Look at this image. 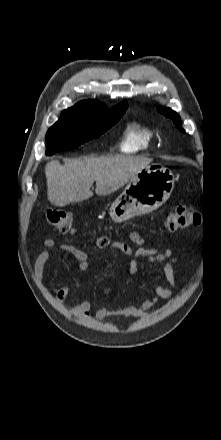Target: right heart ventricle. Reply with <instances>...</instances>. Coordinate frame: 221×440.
<instances>
[{"label": "right heart ventricle", "instance_id": "right-heart-ventricle-1", "mask_svg": "<svg viewBox=\"0 0 221 440\" xmlns=\"http://www.w3.org/2000/svg\"><path fill=\"white\" fill-rule=\"evenodd\" d=\"M158 139V132L148 124L132 123L125 132L121 149L127 153L148 150Z\"/></svg>", "mask_w": 221, "mask_h": 440}]
</instances>
